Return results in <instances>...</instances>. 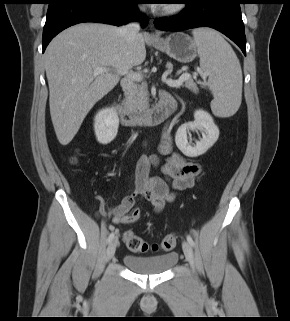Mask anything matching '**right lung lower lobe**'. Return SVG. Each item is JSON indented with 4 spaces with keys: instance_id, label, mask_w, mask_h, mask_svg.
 <instances>
[{
    "instance_id": "right-lung-lower-lobe-1",
    "label": "right lung lower lobe",
    "mask_w": 290,
    "mask_h": 321,
    "mask_svg": "<svg viewBox=\"0 0 290 321\" xmlns=\"http://www.w3.org/2000/svg\"><path fill=\"white\" fill-rule=\"evenodd\" d=\"M139 3L141 0H50L43 30V52L53 37L74 24L100 22L120 26L138 19L146 25V17L138 14Z\"/></svg>"
}]
</instances>
